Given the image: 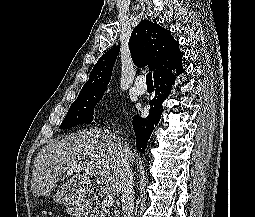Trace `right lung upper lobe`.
<instances>
[{
  "label": "right lung upper lobe",
  "instance_id": "1",
  "mask_svg": "<svg viewBox=\"0 0 255 217\" xmlns=\"http://www.w3.org/2000/svg\"><path fill=\"white\" fill-rule=\"evenodd\" d=\"M129 49L134 64L138 67L148 64L154 78L168 71L183 57L179 42L172 37L171 32L149 20L141 21L134 28L129 39ZM119 50L120 46H115L97 61L79 94L106 91Z\"/></svg>",
  "mask_w": 255,
  "mask_h": 217
}]
</instances>
